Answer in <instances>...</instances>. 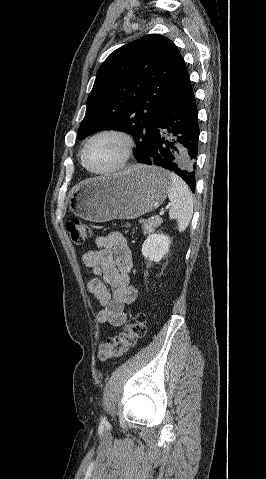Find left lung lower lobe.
I'll list each match as a JSON object with an SVG mask.
<instances>
[{
	"instance_id": "1",
	"label": "left lung lower lobe",
	"mask_w": 266,
	"mask_h": 479,
	"mask_svg": "<svg viewBox=\"0 0 266 479\" xmlns=\"http://www.w3.org/2000/svg\"><path fill=\"white\" fill-rule=\"evenodd\" d=\"M198 139V111L187 75L162 109L148 153L140 163L176 173L194 192Z\"/></svg>"
}]
</instances>
